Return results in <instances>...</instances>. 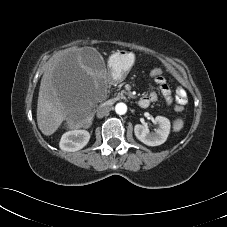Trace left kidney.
I'll return each mask as SVG.
<instances>
[{"instance_id":"5707ae66","label":"left kidney","mask_w":227,"mask_h":227,"mask_svg":"<svg viewBox=\"0 0 227 227\" xmlns=\"http://www.w3.org/2000/svg\"><path fill=\"white\" fill-rule=\"evenodd\" d=\"M155 122L158 124L155 132L151 133L148 127L141 124H136L134 127V133L138 140L148 146H158L163 144L169 133L171 124L169 119L163 116L155 117Z\"/></svg>"}]
</instances>
